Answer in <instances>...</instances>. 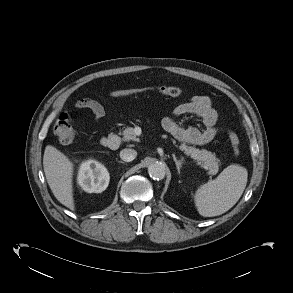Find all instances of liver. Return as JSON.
<instances>
[{"label":"liver","mask_w":293,"mask_h":293,"mask_svg":"<svg viewBox=\"0 0 293 293\" xmlns=\"http://www.w3.org/2000/svg\"><path fill=\"white\" fill-rule=\"evenodd\" d=\"M43 167L47 183L55 198L70 210H75L73 198L74 165L52 145L45 147Z\"/></svg>","instance_id":"liver-1"}]
</instances>
